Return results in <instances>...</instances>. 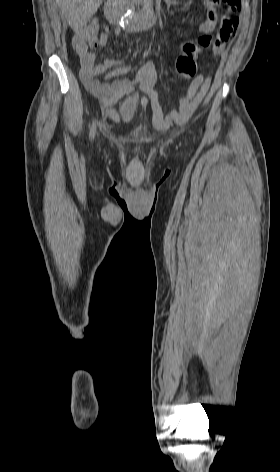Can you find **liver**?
<instances>
[{"instance_id":"6515ba94","label":"liver","mask_w":280,"mask_h":472,"mask_svg":"<svg viewBox=\"0 0 280 472\" xmlns=\"http://www.w3.org/2000/svg\"><path fill=\"white\" fill-rule=\"evenodd\" d=\"M71 28L80 32L97 12L102 0H56Z\"/></svg>"}]
</instances>
